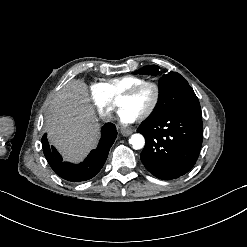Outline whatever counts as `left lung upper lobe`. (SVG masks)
<instances>
[{"label":"left lung upper lobe","mask_w":247,"mask_h":247,"mask_svg":"<svg viewBox=\"0 0 247 247\" xmlns=\"http://www.w3.org/2000/svg\"><path fill=\"white\" fill-rule=\"evenodd\" d=\"M159 67L149 65L135 74L157 75ZM175 111H192L201 114L199 100L188 82L177 72L170 71L159 82V99L153 113L145 121H154Z\"/></svg>","instance_id":"1"}]
</instances>
